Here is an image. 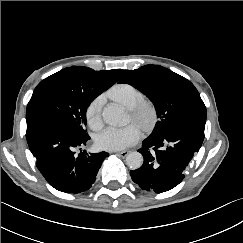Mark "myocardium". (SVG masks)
Masks as SVG:
<instances>
[{"instance_id":"1","label":"myocardium","mask_w":243,"mask_h":243,"mask_svg":"<svg viewBox=\"0 0 243 243\" xmlns=\"http://www.w3.org/2000/svg\"><path fill=\"white\" fill-rule=\"evenodd\" d=\"M129 109L133 121L143 130L149 131L153 128L157 120V108L152 100L144 98Z\"/></svg>"}]
</instances>
